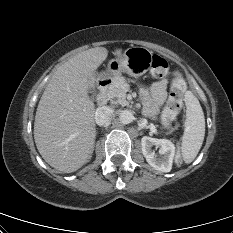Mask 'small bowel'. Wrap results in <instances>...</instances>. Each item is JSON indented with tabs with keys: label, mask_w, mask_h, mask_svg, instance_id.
<instances>
[{
	"label": "small bowel",
	"mask_w": 233,
	"mask_h": 233,
	"mask_svg": "<svg viewBox=\"0 0 233 233\" xmlns=\"http://www.w3.org/2000/svg\"><path fill=\"white\" fill-rule=\"evenodd\" d=\"M168 81L166 79L155 82L151 89V98L146 104V112L149 115L157 113L159 108L163 105L167 97Z\"/></svg>",
	"instance_id": "obj_1"
}]
</instances>
